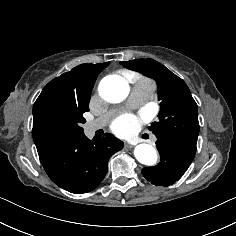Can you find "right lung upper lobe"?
<instances>
[{"instance_id": "obj_1", "label": "right lung upper lobe", "mask_w": 236, "mask_h": 236, "mask_svg": "<svg viewBox=\"0 0 236 236\" xmlns=\"http://www.w3.org/2000/svg\"><path fill=\"white\" fill-rule=\"evenodd\" d=\"M109 62L81 64L71 71L50 81L42 90L33 106V113L46 103L71 106L89 103L97 75Z\"/></svg>"}]
</instances>
